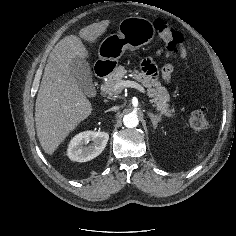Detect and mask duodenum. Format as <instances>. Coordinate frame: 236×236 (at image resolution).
<instances>
[{
  "mask_svg": "<svg viewBox=\"0 0 236 236\" xmlns=\"http://www.w3.org/2000/svg\"><path fill=\"white\" fill-rule=\"evenodd\" d=\"M113 70V67L110 64H104L96 68V76L98 79H103L109 75Z\"/></svg>",
  "mask_w": 236,
  "mask_h": 236,
  "instance_id": "1",
  "label": "duodenum"
}]
</instances>
